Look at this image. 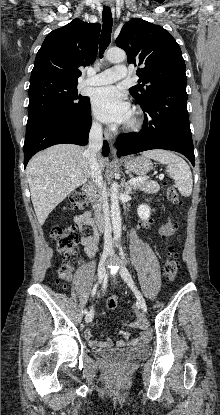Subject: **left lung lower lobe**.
Segmentation results:
<instances>
[{
  "instance_id": "obj_1",
  "label": "left lung lower lobe",
  "mask_w": 220,
  "mask_h": 415,
  "mask_svg": "<svg viewBox=\"0 0 220 415\" xmlns=\"http://www.w3.org/2000/svg\"><path fill=\"white\" fill-rule=\"evenodd\" d=\"M144 125L139 133L118 136V156L150 149H166L185 155L194 166V147L187 112L186 87L162 89L140 105Z\"/></svg>"
}]
</instances>
